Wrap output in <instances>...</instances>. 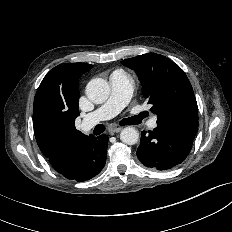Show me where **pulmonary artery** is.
<instances>
[{
  "label": "pulmonary artery",
  "mask_w": 232,
  "mask_h": 232,
  "mask_svg": "<svg viewBox=\"0 0 232 232\" xmlns=\"http://www.w3.org/2000/svg\"><path fill=\"white\" fill-rule=\"evenodd\" d=\"M111 93L108 100L93 112L86 115L84 128L90 129L96 123L108 120L119 114L129 103L132 96V84L129 75L123 69H117L110 75ZM148 126L155 128L157 118L152 117Z\"/></svg>",
  "instance_id": "pulmonary-artery-1"
}]
</instances>
